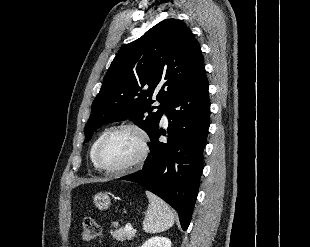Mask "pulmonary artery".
<instances>
[{
  "instance_id": "obj_1",
  "label": "pulmonary artery",
  "mask_w": 310,
  "mask_h": 247,
  "mask_svg": "<svg viewBox=\"0 0 310 247\" xmlns=\"http://www.w3.org/2000/svg\"><path fill=\"white\" fill-rule=\"evenodd\" d=\"M163 121H164V122H167V116H166V114L163 115Z\"/></svg>"
}]
</instances>
